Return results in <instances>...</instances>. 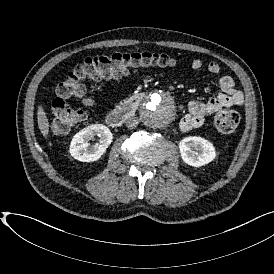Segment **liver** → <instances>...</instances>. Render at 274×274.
I'll return each mask as SVG.
<instances>
[{
    "label": "liver",
    "mask_w": 274,
    "mask_h": 274,
    "mask_svg": "<svg viewBox=\"0 0 274 274\" xmlns=\"http://www.w3.org/2000/svg\"><path fill=\"white\" fill-rule=\"evenodd\" d=\"M37 122L38 128L40 129L42 135L46 138L49 133V122L46 113L41 106L38 107Z\"/></svg>",
    "instance_id": "1"
}]
</instances>
